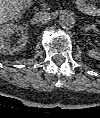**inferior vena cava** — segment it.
Here are the masks:
<instances>
[{
	"label": "inferior vena cava",
	"instance_id": "1",
	"mask_svg": "<svg viewBox=\"0 0 100 118\" xmlns=\"http://www.w3.org/2000/svg\"><path fill=\"white\" fill-rule=\"evenodd\" d=\"M50 21V15L48 13L39 12L33 17L34 24L43 25Z\"/></svg>",
	"mask_w": 100,
	"mask_h": 118
}]
</instances>
